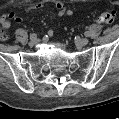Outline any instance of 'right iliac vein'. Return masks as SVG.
Masks as SVG:
<instances>
[{
  "instance_id": "1",
  "label": "right iliac vein",
  "mask_w": 119,
  "mask_h": 119,
  "mask_svg": "<svg viewBox=\"0 0 119 119\" xmlns=\"http://www.w3.org/2000/svg\"><path fill=\"white\" fill-rule=\"evenodd\" d=\"M37 43H38V40H37V39H32V40H30V42H29V46L33 47V46H35Z\"/></svg>"
}]
</instances>
